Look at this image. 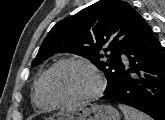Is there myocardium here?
Here are the masks:
<instances>
[{
	"instance_id": "obj_1",
	"label": "myocardium",
	"mask_w": 165,
	"mask_h": 120,
	"mask_svg": "<svg viewBox=\"0 0 165 120\" xmlns=\"http://www.w3.org/2000/svg\"><path fill=\"white\" fill-rule=\"evenodd\" d=\"M67 64H78L89 69L96 77V80H97L96 88L89 94L72 98V99H63V98L58 97L51 88L50 80L53 73L59 67L63 65H67ZM44 86H45L47 94L56 104H76V103L93 101L97 99L98 97H100L105 90L106 83L102 74L100 73V71L94 64L82 58L69 57V58H64L57 61L47 70L44 77Z\"/></svg>"
}]
</instances>
